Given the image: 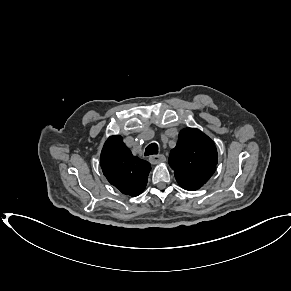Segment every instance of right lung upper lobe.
Returning a JSON list of instances; mask_svg holds the SVG:
<instances>
[{
    "mask_svg": "<svg viewBox=\"0 0 291 291\" xmlns=\"http://www.w3.org/2000/svg\"><path fill=\"white\" fill-rule=\"evenodd\" d=\"M100 165L110 184L133 197L143 192L151 170L150 163L133 156L119 135L111 136L105 142Z\"/></svg>",
    "mask_w": 291,
    "mask_h": 291,
    "instance_id": "1",
    "label": "right lung upper lobe"
}]
</instances>
